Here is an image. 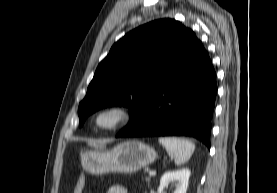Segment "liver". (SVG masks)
Here are the masks:
<instances>
[{"label":"liver","mask_w":277,"mask_h":193,"mask_svg":"<svg viewBox=\"0 0 277 193\" xmlns=\"http://www.w3.org/2000/svg\"><path fill=\"white\" fill-rule=\"evenodd\" d=\"M89 144L92 145V146H94V147H96V148L99 147L96 143H93V142H90Z\"/></svg>","instance_id":"1"}]
</instances>
